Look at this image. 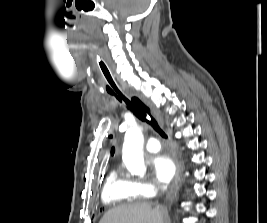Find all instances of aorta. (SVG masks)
I'll list each match as a JSON object with an SVG mask.
<instances>
[{
    "instance_id": "1",
    "label": "aorta",
    "mask_w": 267,
    "mask_h": 223,
    "mask_svg": "<svg viewBox=\"0 0 267 223\" xmlns=\"http://www.w3.org/2000/svg\"><path fill=\"white\" fill-rule=\"evenodd\" d=\"M143 142L141 128L134 126L127 130L122 149V159L133 175H141L146 171L142 151Z\"/></svg>"
}]
</instances>
